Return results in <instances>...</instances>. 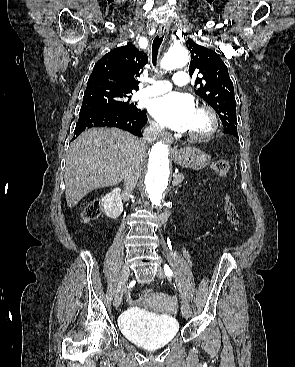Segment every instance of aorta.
Returning <instances> with one entry per match:
<instances>
[{
	"label": "aorta",
	"mask_w": 295,
	"mask_h": 367,
	"mask_svg": "<svg viewBox=\"0 0 295 367\" xmlns=\"http://www.w3.org/2000/svg\"><path fill=\"white\" fill-rule=\"evenodd\" d=\"M189 63L188 51L174 47L164 55L161 66L166 70L185 67ZM170 160L168 145L162 141L154 144L149 152L145 171L146 192L152 203L161 207L170 181Z\"/></svg>",
	"instance_id": "762f6f07"
}]
</instances>
